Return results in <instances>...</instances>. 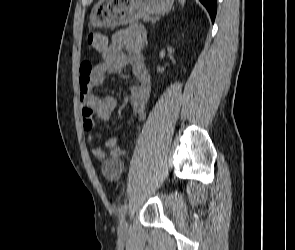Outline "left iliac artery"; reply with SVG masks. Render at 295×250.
Segmentation results:
<instances>
[{"label":"left iliac artery","mask_w":295,"mask_h":250,"mask_svg":"<svg viewBox=\"0 0 295 250\" xmlns=\"http://www.w3.org/2000/svg\"><path fill=\"white\" fill-rule=\"evenodd\" d=\"M126 211H127V203H124L120 209V214H119L120 221L124 218Z\"/></svg>","instance_id":"obj_1"}]
</instances>
